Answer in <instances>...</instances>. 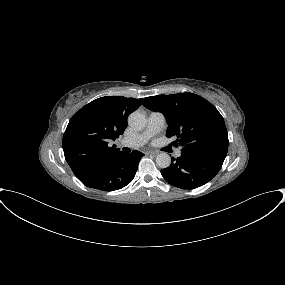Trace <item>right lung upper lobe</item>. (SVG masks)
Returning a JSON list of instances; mask_svg holds the SVG:
<instances>
[{"mask_svg":"<svg viewBox=\"0 0 285 285\" xmlns=\"http://www.w3.org/2000/svg\"><path fill=\"white\" fill-rule=\"evenodd\" d=\"M141 103L142 99L106 96L75 113L62 142L65 159L75 175L121 153L108 143L123 134L129 114Z\"/></svg>","mask_w":285,"mask_h":285,"instance_id":"1","label":"right lung upper lobe"}]
</instances>
